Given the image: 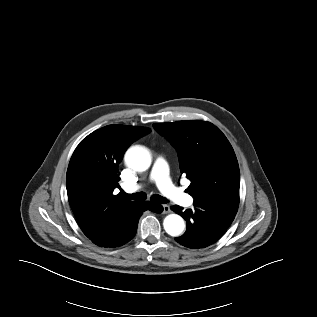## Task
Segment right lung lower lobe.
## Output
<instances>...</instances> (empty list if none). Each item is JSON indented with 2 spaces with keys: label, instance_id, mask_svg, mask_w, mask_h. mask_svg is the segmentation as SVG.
Here are the masks:
<instances>
[{
  "label": "right lung lower lobe",
  "instance_id": "98d812e1",
  "mask_svg": "<svg viewBox=\"0 0 317 317\" xmlns=\"http://www.w3.org/2000/svg\"><path fill=\"white\" fill-rule=\"evenodd\" d=\"M146 210L161 213L163 207L149 201L135 202L114 219L103 220L102 217L91 215L78 222L83 233L94 244L105 248H115L133 239L139 218Z\"/></svg>",
  "mask_w": 317,
  "mask_h": 317
}]
</instances>
